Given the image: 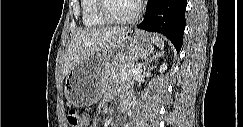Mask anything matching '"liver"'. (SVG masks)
<instances>
[{
  "instance_id": "1",
  "label": "liver",
  "mask_w": 243,
  "mask_h": 127,
  "mask_svg": "<svg viewBox=\"0 0 243 127\" xmlns=\"http://www.w3.org/2000/svg\"><path fill=\"white\" fill-rule=\"evenodd\" d=\"M128 28H93L76 32L66 50L63 77L80 61L103 50L114 39L125 33Z\"/></svg>"
}]
</instances>
